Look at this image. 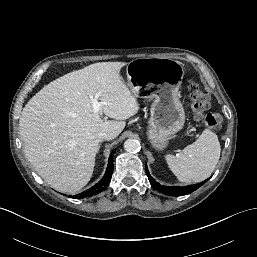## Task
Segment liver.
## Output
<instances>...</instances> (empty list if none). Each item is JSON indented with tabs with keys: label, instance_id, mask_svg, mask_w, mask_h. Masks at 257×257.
I'll return each mask as SVG.
<instances>
[{
	"label": "liver",
	"instance_id": "6515ba94",
	"mask_svg": "<svg viewBox=\"0 0 257 257\" xmlns=\"http://www.w3.org/2000/svg\"><path fill=\"white\" fill-rule=\"evenodd\" d=\"M124 62H100L70 72L44 86L25 105L19 120L24 153L42 179L55 190L73 194L92 177L98 134L125 128L139 111L120 70ZM105 103L99 113L91 97ZM114 120H102L100 114Z\"/></svg>",
	"mask_w": 257,
	"mask_h": 257
}]
</instances>
